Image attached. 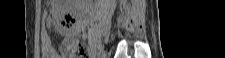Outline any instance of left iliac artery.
<instances>
[{
    "label": "left iliac artery",
    "mask_w": 225,
    "mask_h": 58,
    "mask_svg": "<svg viewBox=\"0 0 225 58\" xmlns=\"http://www.w3.org/2000/svg\"><path fill=\"white\" fill-rule=\"evenodd\" d=\"M91 55H92V56L94 55V52H93V51L91 52Z\"/></svg>",
    "instance_id": "left-iliac-artery-1"
}]
</instances>
